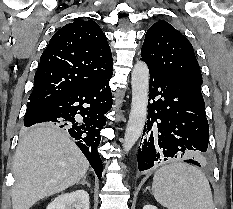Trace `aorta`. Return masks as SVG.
I'll return each instance as SVG.
<instances>
[{
	"label": "aorta",
	"mask_w": 233,
	"mask_h": 209,
	"mask_svg": "<svg viewBox=\"0 0 233 209\" xmlns=\"http://www.w3.org/2000/svg\"><path fill=\"white\" fill-rule=\"evenodd\" d=\"M132 103L126 126L123 149L129 152L140 138L146 118L149 91V69L146 63L138 61L131 74Z\"/></svg>",
	"instance_id": "762f6f07"
}]
</instances>
